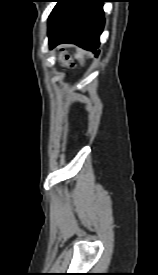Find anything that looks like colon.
<instances>
[{"label": "colon", "mask_w": 158, "mask_h": 275, "mask_svg": "<svg viewBox=\"0 0 158 275\" xmlns=\"http://www.w3.org/2000/svg\"><path fill=\"white\" fill-rule=\"evenodd\" d=\"M61 59H62L63 61H67V60H68V56H66L65 54H62V55H61Z\"/></svg>", "instance_id": "colon-1"}]
</instances>
